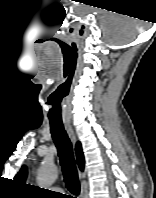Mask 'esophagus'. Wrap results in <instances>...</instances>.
<instances>
[{
    "label": "esophagus",
    "instance_id": "esophagus-1",
    "mask_svg": "<svg viewBox=\"0 0 156 198\" xmlns=\"http://www.w3.org/2000/svg\"><path fill=\"white\" fill-rule=\"evenodd\" d=\"M65 128L68 132V135H69L71 141L73 143H75L76 142V137H75V133L72 129V126L69 123H66ZM79 175H80V178H82V173L81 172H79ZM81 198H87L86 187L83 185V183L81 184Z\"/></svg>",
    "mask_w": 156,
    "mask_h": 198
}]
</instances>
